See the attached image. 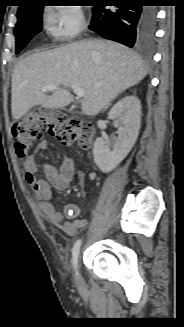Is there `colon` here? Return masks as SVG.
Here are the masks:
<instances>
[{
	"label": "colon",
	"instance_id": "5ec220e1",
	"mask_svg": "<svg viewBox=\"0 0 184 327\" xmlns=\"http://www.w3.org/2000/svg\"><path fill=\"white\" fill-rule=\"evenodd\" d=\"M42 132H48L64 145L87 148L94 135V126L61 111L38 110L27 113L12 126L14 147L19 158L27 157L33 141Z\"/></svg>",
	"mask_w": 184,
	"mask_h": 327
}]
</instances>
